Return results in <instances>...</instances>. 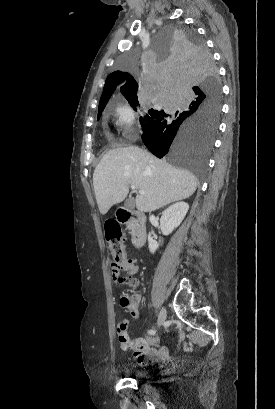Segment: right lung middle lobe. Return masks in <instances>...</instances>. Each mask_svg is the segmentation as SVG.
Masks as SVG:
<instances>
[{"mask_svg":"<svg viewBox=\"0 0 275 409\" xmlns=\"http://www.w3.org/2000/svg\"><path fill=\"white\" fill-rule=\"evenodd\" d=\"M148 49L130 50L129 57H119L113 72L138 73L135 59H153V51H168V57L158 59L160 70L148 73L147 91L194 92L127 98L134 110L138 105L149 110L140 117L143 142L160 162L169 160L170 167H184L206 182V161L214 147L221 113V84L212 55L193 24H167L166 30H155Z\"/></svg>","mask_w":275,"mask_h":409,"instance_id":"right-lung-middle-lobe-1","label":"right lung middle lobe"}]
</instances>
